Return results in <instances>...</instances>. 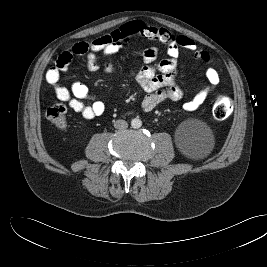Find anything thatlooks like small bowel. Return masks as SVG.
Returning a JSON list of instances; mask_svg holds the SVG:
<instances>
[{
  "label": "small bowel",
  "mask_w": 267,
  "mask_h": 267,
  "mask_svg": "<svg viewBox=\"0 0 267 267\" xmlns=\"http://www.w3.org/2000/svg\"><path fill=\"white\" fill-rule=\"evenodd\" d=\"M133 37H144L163 44L168 54L167 58L157 62L158 46L148 47L142 52V65L129 71L138 85L146 91L141 102L144 110L150 111L166 101H180L183 98V89L177 83L178 60L182 49L194 52L196 59L206 66L207 79L206 85L183 104V109L195 111L215 91L220 78L217 70L210 65V56L206 51L198 49L195 42L187 36H176L164 28L138 20L126 22L91 42H78L67 48L47 70V83L54 87L59 100L67 102L73 111L84 118L93 119L102 115L105 111L104 102L98 100L82 82H74L70 87L61 86L60 73L69 68L76 55H86V65L91 72L102 69L106 73H114L117 71L114 65H101L98 58L113 56Z\"/></svg>",
  "instance_id": "obj_1"
}]
</instances>
